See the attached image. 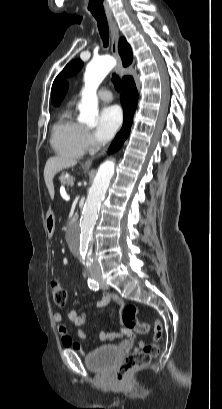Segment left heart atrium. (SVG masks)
<instances>
[{
	"mask_svg": "<svg viewBox=\"0 0 222 409\" xmlns=\"http://www.w3.org/2000/svg\"><path fill=\"white\" fill-rule=\"evenodd\" d=\"M121 121V111L117 106L103 108L99 114L95 138L101 143L109 141L115 135Z\"/></svg>",
	"mask_w": 222,
	"mask_h": 409,
	"instance_id": "1",
	"label": "left heart atrium"
}]
</instances>
